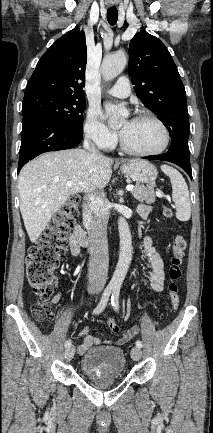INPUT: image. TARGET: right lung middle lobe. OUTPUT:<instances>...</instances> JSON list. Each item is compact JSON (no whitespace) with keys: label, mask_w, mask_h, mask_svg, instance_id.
<instances>
[{"label":"right lung middle lobe","mask_w":213,"mask_h":433,"mask_svg":"<svg viewBox=\"0 0 213 433\" xmlns=\"http://www.w3.org/2000/svg\"><path fill=\"white\" fill-rule=\"evenodd\" d=\"M86 101L83 97L40 93L23 99L22 114L37 113L82 134L83 111Z\"/></svg>","instance_id":"1"}]
</instances>
